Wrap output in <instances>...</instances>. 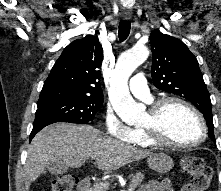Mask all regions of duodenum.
<instances>
[{"mask_svg":"<svg viewBox=\"0 0 221 191\" xmlns=\"http://www.w3.org/2000/svg\"><path fill=\"white\" fill-rule=\"evenodd\" d=\"M92 186V178L89 176L84 177L77 186V191H89Z\"/></svg>","mask_w":221,"mask_h":191,"instance_id":"410a0bca","label":"duodenum"}]
</instances>
